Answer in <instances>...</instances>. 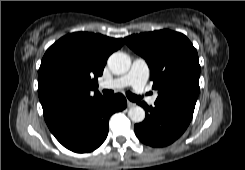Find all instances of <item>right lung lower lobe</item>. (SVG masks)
Wrapping results in <instances>:
<instances>
[{
    "label": "right lung lower lobe",
    "instance_id": "98d812e1",
    "mask_svg": "<svg viewBox=\"0 0 245 170\" xmlns=\"http://www.w3.org/2000/svg\"><path fill=\"white\" fill-rule=\"evenodd\" d=\"M126 106L127 101L122 94L111 98L101 97L78 111L53 135L73 152H91L106 139L110 116Z\"/></svg>",
    "mask_w": 245,
    "mask_h": 170
}]
</instances>
